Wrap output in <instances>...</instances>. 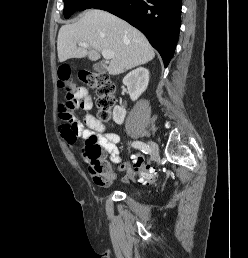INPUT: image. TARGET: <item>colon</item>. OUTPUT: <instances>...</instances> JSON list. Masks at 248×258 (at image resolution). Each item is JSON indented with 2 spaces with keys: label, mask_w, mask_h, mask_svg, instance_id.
<instances>
[{
  "label": "colon",
  "mask_w": 248,
  "mask_h": 258,
  "mask_svg": "<svg viewBox=\"0 0 248 258\" xmlns=\"http://www.w3.org/2000/svg\"><path fill=\"white\" fill-rule=\"evenodd\" d=\"M59 73V83L64 89V102L59 107V115L63 122L61 129L66 135V139L75 143L77 139V130L73 124V113L76 108L75 95L78 87L69 84L71 70L67 64L63 63L59 65ZM80 78L94 90L97 96L99 119L108 122L111 118V110L114 105V84L103 74H82ZM83 153L85 159L89 163V171L95 176L96 180L108 182L113 179V170L109 165L101 161L103 151L98 137L91 135L85 139ZM127 164L129 166L128 173L138 175V179L143 180L145 183L149 184L157 180V173L148 171V164L145 163L143 155H130Z\"/></svg>",
  "instance_id": "obj_1"
}]
</instances>
